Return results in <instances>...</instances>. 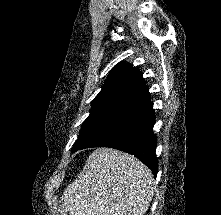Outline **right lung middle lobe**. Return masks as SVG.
Returning a JSON list of instances; mask_svg holds the SVG:
<instances>
[{
	"label": "right lung middle lobe",
	"mask_w": 221,
	"mask_h": 215,
	"mask_svg": "<svg viewBox=\"0 0 221 215\" xmlns=\"http://www.w3.org/2000/svg\"><path fill=\"white\" fill-rule=\"evenodd\" d=\"M121 118L107 114H90L83 122L79 137L75 143L73 152L79 150L93 139L97 138Z\"/></svg>",
	"instance_id": "right-lung-middle-lobe-1"
}]
</instances>
